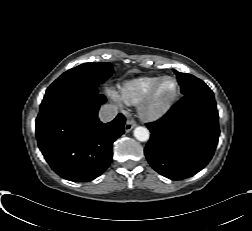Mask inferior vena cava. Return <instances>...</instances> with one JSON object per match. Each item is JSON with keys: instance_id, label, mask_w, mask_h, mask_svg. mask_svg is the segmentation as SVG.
Here are the masks:
<instances>
[{"instance_id": "inferior-vena-cava-1", "label": "inferior vena cava", "mask_w": 252, "mask_h": 231, "mask_svg": "<svg viewBox=\"0 0 252 231\" xmlns=\"http://www.w3.org/2000/svg\"><path fill=\"white\" fill-rule=\"evenodd\" d=\"M118 114V108L116 105L106 104L101 106L99 110V119L102 122L112 121Z\"/></svg>"}]
</instances>
